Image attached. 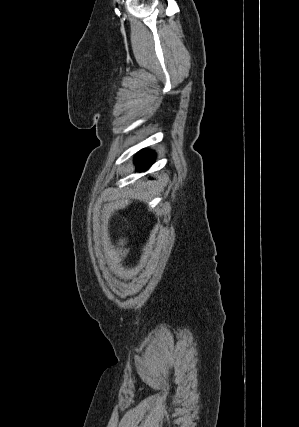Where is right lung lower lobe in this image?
Instances as JSON below:
<instances>
[{"mask_svg":"<svg viewBox=\"0 0 299 427\" xmlns=\"http://www.w3.org/2000/svg\"><path fill=\"white\" fill-rule=\"evenodd\" d=\"M155 154L154 152L148 150H142L138 153L136 157V165L138 171H144L154 162Z\"/></svg>","mask_w":299,"mask_h":427,"instance_id":"1","label":"right lung lower lobe"}]
</instances>
